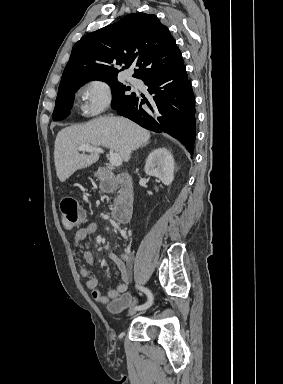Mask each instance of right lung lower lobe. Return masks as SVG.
<instances>
[{"label": "right lung lower lobe", "instance_id": "obj_1", "mask_svg": "<svg viewBox=\"0 0 283 384\" xmlns=\"http://www.w3.org/2000/svg\"><path fill=\"white\" fill-rule=\"evenodd\" d=\"M149 101L136 94L112 106L119 115L127 117L154 132H164L178 139L193 154L195 142V98L185 65L144 79ZM142 104H146L142 107Z\"/></svg>", "mask_w": 283, "mask_h": 384}]
</instances>
